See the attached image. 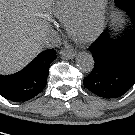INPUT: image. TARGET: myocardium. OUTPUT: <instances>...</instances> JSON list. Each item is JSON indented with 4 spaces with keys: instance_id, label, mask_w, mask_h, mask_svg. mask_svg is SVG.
Returning <instances> with one entry per match:
<instances>
[{
    "instance_id": "1",
    "label": "myocardium",
    "mask_w": 135,
    "mask_h": 135,
    "mask_svg": "<svg viewBox=\"0 0 135 135\" xmlns=\"http://www.w3.org/2000/svg\"><path fill=\"white\" fill-rule=\"evenodd\" d=\"M107 6L108 0H100L96 7L93 6V0H85L79 11L67 24V32L70 38L80 44H88L98 39L105 28ZM88 19L93 21L92 31L84 38L77 37L75 34L76 27Z\"/></svg>"
}]
</instances>
